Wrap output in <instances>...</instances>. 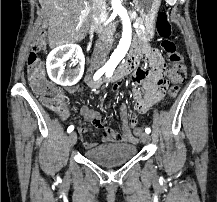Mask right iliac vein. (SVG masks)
Listing matches in <instances>:
<instances>
[{
  "label": "right iliac vein",
  "instance_id": "1",
  "mask_svg": "<svg viewBox=\"0 0 217 202\" xmlns=\"http://www.w3.org/2000/svg\"><path fill=\"white\" fill-rule=\"evenodd\" d=\"M68 141L70 146L73 147L77 142V134L75 132L70 133Z\"/></svg>",
  "mask_w": 217,
  "mask_h": 202
}]
</instances>
